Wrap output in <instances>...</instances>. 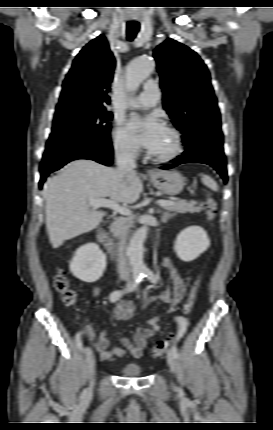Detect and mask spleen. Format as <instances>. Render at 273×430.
<instances>
[{
  "label": "spleen",
  "instance_id": "spleen-1",
  "mask_svg": "<svg viewBox=\"0 0 273 430\" xmlns=\"http://www.w3.org/2000/svg\"><path fill=\"white\" fill-rule=\"evenodd\" d=\"M201 180L210 189H212L214 191H218L219 188H218L217 183L210 176L205 175V174H201Z\"/></svg>",
  "mask_w": 273,
  "mask_h": 430
}]
</instances>
